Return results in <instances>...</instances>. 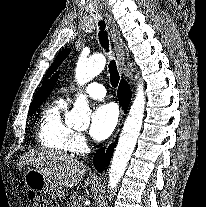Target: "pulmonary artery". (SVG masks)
I'll return each instance as SVG.
<instances>
[{"mask_svg":"<svg viewBox=\"0 0 206 207\" xmlns=\"http://www.w3.org/2000/svg\"><path fill=\"white\" fill-rule=\"evenodd\" d=\"M84 92L94 99H102L106 96V89L103 85L91 82L86 85Z\"/></svg>","mask_w":206,"mask_h":207,"instance_id":"obj_1","label":"pulmonary artery"}]
</instances>
